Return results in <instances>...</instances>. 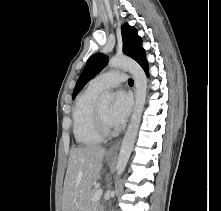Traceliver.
Returning <instances> with one entry per match:
<instances>
[{"instance_id": "liver-1", "label": "liver", "mask_w": 221, "mask_h": 211, "mask_svg": "<svg viewBox=\"0 0 221 211\" xmlns=\"http://www.w3.org/2000/svg\"><path fill=\"white\" fill-rule=\"evenodd\" d=\"M106 151L97 145L73 148L64 180L62 211H83L84 201L98 179Z\"/></svg>"}]
</instances>
